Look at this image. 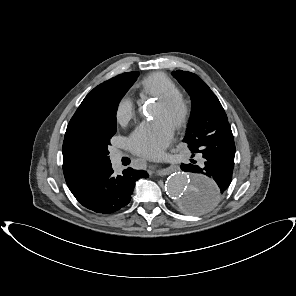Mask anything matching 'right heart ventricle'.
<instances>
[{"label":"right heart ventricle","instance_id":"obj_1","mask_svg":"<svg viewBox=\"0 0 296 296\" xmlns=\"http://www.w3.org/2000/svg\"><path fill=\"white\" fill-rule=\"evenodd\" d=\"M141 95H149L156 98L162 96L178 94V85L166 74L156 72L144 77L140 82Z\"/></svg>","mask_w":296,"mask_h":296}]
</instances>
